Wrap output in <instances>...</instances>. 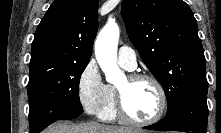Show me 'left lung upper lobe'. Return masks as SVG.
<instances>
[{"label": "left lung upper lobe", "mask_w": 221, "mask_h": 133, "mask_svg": "<svg viewBox=\"0 0 221 133\" xmlns=\"http://www.w3.org/2000/svg\"><path fill=\"white\" fill-rule=\"evenodd\" d=\"M128 36L165 91L168 110L206 94L205 57L197 22L182 0H123Z\"/></svg>", "instance_id": "left-lung-upper-lobe-1"}]
</instances>
